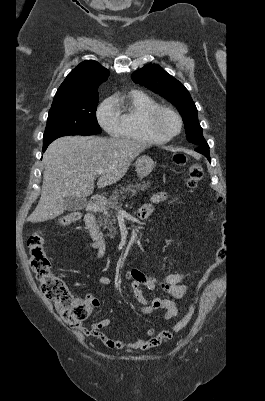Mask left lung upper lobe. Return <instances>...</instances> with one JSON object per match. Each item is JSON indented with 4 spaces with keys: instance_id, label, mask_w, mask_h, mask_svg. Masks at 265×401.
<instances>
[{
    "instance_id": "left-lung-upper-lobe-1",
    "label": "left lung upper lobe",
    "mask_w": 265,
    "mask_h": 401,
    "mask_svg": "<svg viewBox=\"0 0 265 401\" xmlns=\"http://www.w3.org/2000/svg\"><path fill=\"white\" fill-rule=\"evenodd\" d=\"M135 83L147 87L171 102L180 112L189 142L202 144L205 141L198 121V112L184 85L158 65L149 64L132 75Z\"/></svg>"
}]
</instances>
